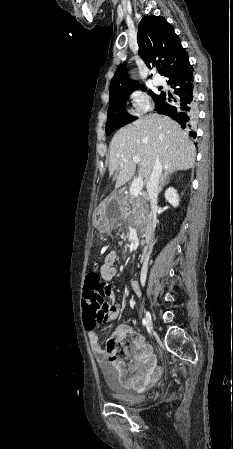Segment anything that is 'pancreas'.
Here are the masks:
<instances>
[{
    "instance_id": "cf45deb5",
    "label": "pancreas",
    "mask_w": 233,
    "mask_h": 449,
    "mask_svg": "<svg viewBox=\"0 0 233 449\" xmlns=\"http://www.w3.org/2000/svg\"><path fill=\"white\" fill-rule=\"evenodd\" d=\"M123 216L142 230L151 222V215L145 196L134 197L131 194L123 198ZM144 231V230H142Z\"/></svg>"
}]
</instances>
